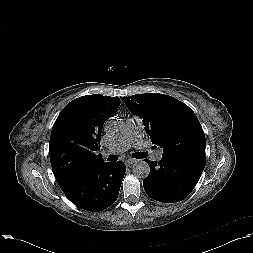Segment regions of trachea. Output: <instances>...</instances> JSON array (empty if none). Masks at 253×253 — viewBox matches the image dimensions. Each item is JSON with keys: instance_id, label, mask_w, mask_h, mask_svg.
Segmentation results:
<instances>
[{"instance_id": "3493384b", "label": "trachea", "mask_w": 253, "mask_h": 253, "mask_svg": "<svg viewBox=\"0 0 253 253\" xmlns=\"http://www.w3.org/2000/svg\"><path fill=\"white\" fill-rule=\"evenodd\" d=\"M133 156L135 158L142 159V158H145L147 156V153H145V152L135 153ZM107 160H109V161H116L117 157L115 155H110L107 158Z\"/></svg>"}]
</instances>
